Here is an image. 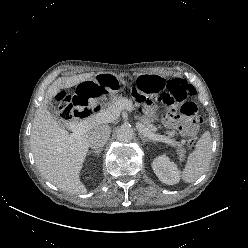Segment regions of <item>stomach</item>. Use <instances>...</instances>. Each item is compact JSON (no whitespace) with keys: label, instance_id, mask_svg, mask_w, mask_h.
Returning a JSON list of instances; mask_svg holds the SVG:
<instances>
[{"label":"stomach","instance_id":"1","mask_svg":"<svg viewBox=\"0 0 248 248\" xmlns=\"http://www.w3.org/2000/svg\"><path fill=\"white\" fill-rule=\"evenodd\" d=\"M137 83L142 85L149 93H160L165 86L164 77L158 74L143 73L136 77ZM125 84V80L111 72H101L77 86L73 92L75 101L85 109L94 110L104 114L110 110V98L105 95L108 92H117Z\"/></svg>","mask_w":248,"mask_h":248}]
</instances>
